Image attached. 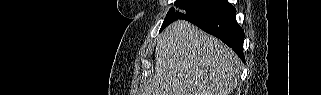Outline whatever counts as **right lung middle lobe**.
Masks as SVG:
<instances>
[{"label": "right lung middle lobe", "instance_id": "dd1d6c3e", "mask_svg": "<svg viewBox=\"0 0 321 95\" xmlns=\"http://www.w3.org/2000/svg\"><path fill=\"white\" fill-rule=\"evenodd\" d=\"M213 1L214 0H176L174 2L175 8L172 7L167 13L160 31L173 21L195 13Z\"/></svg>", "mask_w": 321, "mask_h": 95}]
</instances>
